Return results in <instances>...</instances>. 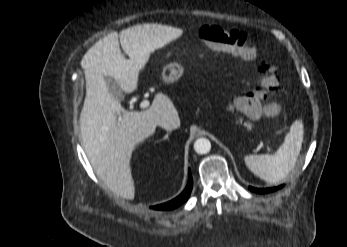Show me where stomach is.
I'll use <instances>...</instances> for the list:
<instances>
[{
    "label": "stomach",
    "mask_w": 347,
    "mask_h": 247,
    "mask_svg": "<svg viewBox=\"0 0 347 247\" xmlns=\"http://www.w3.org/2000/svg\"><path fill=\"white\" fill-rule=\"evenodd\" d=\"M183 74V68L175 65L169 64L163 68L162 77L167 82H174Z\"/></svg>",
    "instance_id": "0dacf381"
}]
</instances>
